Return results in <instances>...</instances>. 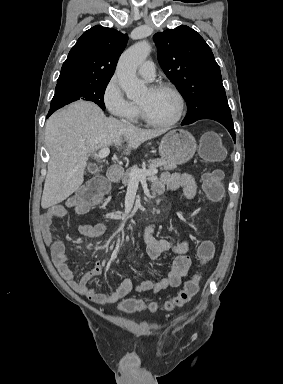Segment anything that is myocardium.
Wrapping results in <instances>:
<instances>
[{"mask_svg":"<svg viewBox=\"0 0 283 384\" xmlns=\"http://www.w3.org/2000/svg\"><path fill=\"white\" fill-rule=\"evenodd\" d=\"M149 88L151 90H167V91L171 92L177 100L178 109H177V113H176L175 117L172 120H170L168 122H164V123H159V122H155V121H152L151 119H149L145 115L142 107L138 104L139 116H140L141 120L147 126L152 127V128H156V129H168V128H171L174 125H176L181 120V118L184 114V109H185V101H184V98H183L181 92L175 86H173L172 84L166 83V82L153 84Z\"/></svg>","mask_w":283,"mask_h":384,"instance_id":"1","label":"myocardium"}]
</instances>
